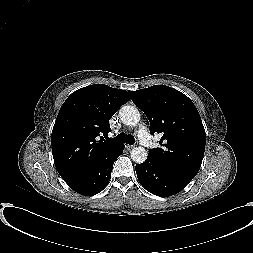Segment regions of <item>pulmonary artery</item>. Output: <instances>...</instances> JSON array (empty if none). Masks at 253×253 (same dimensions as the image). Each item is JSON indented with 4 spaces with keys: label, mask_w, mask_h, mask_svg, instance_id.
<instances>
[{
    "label": "pulmonary artery",
    "mask_w": 253,
    "mask_h": 253,
    "mask_svg": "<svg viewBox=\"0 0 253 253\" xmlns=\"http://www.w3.org/2000/svg\"><path fill=\"white\" fill-rule=\"evenodd\" d=\"M138 137L140 141L142 142L143 145L146 147H151L152 146V138L151 135L149 134L147 128L143 125H141L138 129Z\"/></svg>",
    "instance_id": "1"
}]
</instances>
